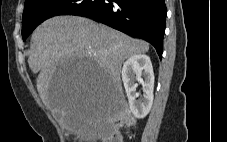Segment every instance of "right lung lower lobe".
<instances>
[{
	"label": "right lung lower lobe",
	"instance_id": "1",
	"mask_svg": "<svg viewBox=\"0 0 227 142\" xmlns=\"http://www.w3.org/2000/svg\"><path fill=\"white\" fill-rule=\"evenodd\" d=\"M166 14L164 0H105L78 16L91 18L151 43L161 58Z\"/></svg>",
	"mask_w": 227,
	"mask_h": 142
}]
</instances>
